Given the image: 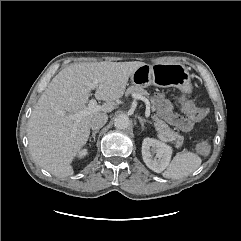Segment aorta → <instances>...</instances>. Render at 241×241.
<instances>
[{
	"mask_svg": "<svg viewBox=\"0 0 241 241\" xmlns=\"http://www.w3.org/2000/svg\"><path fill=\"white\" fill-rule=\"evenodd\" d=\"M114 126L117 129H127L130 126V120L126 115H119L114 120Z\"/></svg>",
	"mask_w": 241,
	"mask_h": 241,
	"instance_id": "obj_1",
	"label": "aorta"
}]
</instances>
